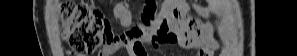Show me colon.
Masks as SVG:
<instances>
[{
    "instance_id": "5ec220e1",
    "label": "colon",
    "mask_w": 297,
    "mask_h": 56,
    "mask_svg": "<svg viewBox=\"0 0 297 56\" xmlns=\"http://www.w3.org/2000/svg\"><path fill=\"white\" fill-rule=\"evenodd\" d=\"M59 12L64 39L76 53L93 54L112 38L108 21L88 3L65 2Z\"/></svg>"
}]
</instances>
